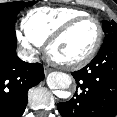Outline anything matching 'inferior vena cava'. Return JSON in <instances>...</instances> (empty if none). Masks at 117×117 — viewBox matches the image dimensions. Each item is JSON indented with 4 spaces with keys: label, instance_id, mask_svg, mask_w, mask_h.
Returning <instances> with one entry per match:
<instances>
[{
    "label": "inferior vena cava",
    "instance_id": "602c4592",
    "mask_svg": "<svg viewBox=\"0 0 117 117\" xmlns=\"http://www.w3.org/2000/svg\"><path fill=\"white\" fill-rule=\"evenodd\" d=\"M18 57L24 61L28 62H36L38 60L37 57H35L32 53L28 52L25 49L18 51Z\"/></svg>",
    "mask_w": 117,
    "mask_h": 117
}]
</instances>
